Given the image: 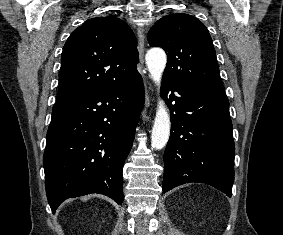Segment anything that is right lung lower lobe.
<instances>
[{
	"label": "right lung lower lobe",
	"mask_w": 283,
	"mask_h": 235,
	"mask_svg": "<svg viewBox=\"0 0 283 235\" xmlns=\"http://www.w3.org/2000/svg\"><path fill=\"white\" fill-rule=\"evenodd\" d=\"M144 104L139 73L55 104L43 156L53 211L65 200L100 193L121 204L122 169Z\"/></svg>",
	"instance_id": "98d812e1"
}]
</instances>
